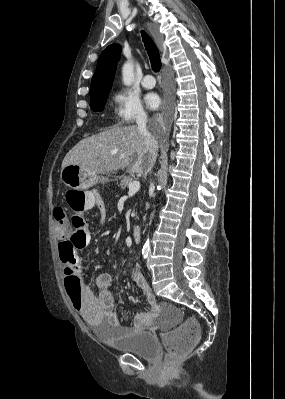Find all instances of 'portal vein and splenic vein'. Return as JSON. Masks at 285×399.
Listing matches in <instances>:
<instances>
[{
  "label": "portal vein and splenic vein",
  "instance_id": "18ae733b",
  "mask_svg": "<svg viewBox=\"0 0 285 399\" xmlns=\"http://www.w3.org/2000/svg\"><path fill=\"white\" fill-rule=\"evenodd\" d=\"M124 156L122 155L121 156V158H123ZM128 188H129V193L131 194V193H136V192H138L139 191V189H140V182L139 181H133V182H131L130 184H129V186H128Z\"/></svg>",
  "mask_w": 285,
  "mask_h": 399
}]
</instances>
